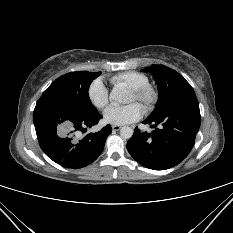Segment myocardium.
<instances>
[{
  "label": "myocardium",
  "mask_w": 233,
  "mask_h": 233,
  "mask_svg": "<svg viewBox=\"0 0 233 233\" xmlns=\"http://www.w3.org/2000/svg\"><path fill=\"white\" fill-rule=\"evenodd\" d=\"M136 100L142 105L145 111L151 110L158 100V92L154 85L146 83L136 88H132Z\"/></svg>",
  "instance_id": "1"
}]
</instances>
